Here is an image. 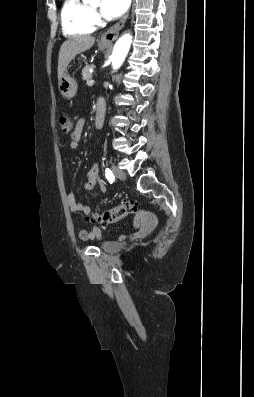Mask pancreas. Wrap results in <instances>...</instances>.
Instances as JSON below:
<instances>
[{
	"label": "pancreas",
	"mask_w": 254,
	"mask_h": 397,
	"mask_svg": "<svg viewBox=\"0 0 254 397\" xmlns=\"http://www.w3.org/2000/svg\"><path fill=\"white\" fill-rule=\"evenodd\" d=\"M94 65L93 64H88L86 65L83 70H82V79L89 81L92 78V74L90 73V69L93 68Z\"/></svg>",
	"instance_id": "1"
}]
</instances>
